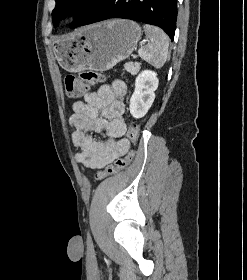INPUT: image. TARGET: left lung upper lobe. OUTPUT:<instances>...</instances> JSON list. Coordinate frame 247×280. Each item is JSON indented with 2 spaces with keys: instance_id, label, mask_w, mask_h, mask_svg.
Instances as JSON below:
<instances>
[{
  "instance_id": "obj_1",
  "label": "left lung upper lobe",
  "mask_w": 247,
  "mask_h": 280,
  "mask_svg": "<svg viewBox=\"0 0 247 280\" xmlns=\"http://www.w3.org/2000/svg\"><path fill=\"white\" fill-rule=\"evenodd\" d=\"M56 6L52 12L54 26L60 19H64L67 13L73 16L71 28L78 27L81 22L99 5L106 0H55Z\"/></svg>"
}]
</instances>
